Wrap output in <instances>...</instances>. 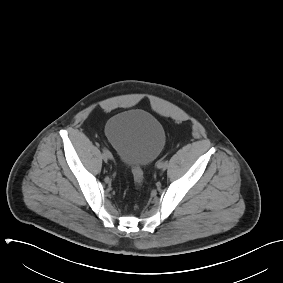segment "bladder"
<instances>
[{"label":"bladder","instance_id":"31cf9c89","mask_svg":"<svg viewBox=\"0 0 283 283\" xmlns=\"http://www.w3.org/2000/svg\"><path fill=\"white\" fill-rule=\"evenodd\" d=\"M105 134L126 165L146 166L153 162L165 145L160 121L143 110H127L109 119Z\"/></svg>","mask_w":283,"mask_h":283}]
</instances>
